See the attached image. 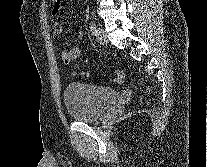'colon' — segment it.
Listing matches in <instances>:
<instances>
[{
  "mask_svg": "<svg viewBox=\"0 0 207 167\" xmlns=\"http://www.w3.org/2000/svg\"><path fill=\"white\" fill-rule=\"evenodd\" d=\"M87 73H80V75H86ZM124 80V73L120 70H116L113 74L112 83L119 84Z\"/></svg>",
  "mask_w": 207,
  "mask_h": 167,
  "instance_id": "obj_1",
  "label": "colon"
}]
</instances>
